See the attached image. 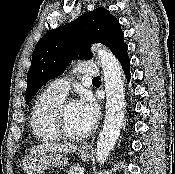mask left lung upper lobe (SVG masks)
<instances>
[{
	"label": "left lung upper lobe",
	"instance_id": "left-lung-upper-lobe-1",
	"mask_svg": "<svg viewBox=\"0 0 175 174\" xmlns=\"http://www.w3.org/2000/svg\"><path fill=\"white\" fill-rule=\"evenodd\" d=\"M92 43H102L115 56L127 45L119 21L104 8L80 16L66 26L49 31L37 44L27 75L26 102L47 82L61 75L77 56L92 58Z\"/></svg>",
	"mask_w": 175,
	"mask_h": 174
}]
</instances>
